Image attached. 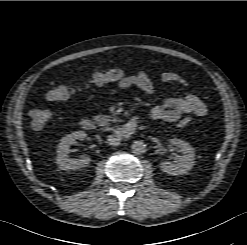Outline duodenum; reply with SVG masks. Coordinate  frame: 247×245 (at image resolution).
<instances>
[{"label": "duodenum", "instance_id": "1", "mask_svg": "<svg viewBox=\"0 0 247 245\" xmlns=\"http://www.w3.org/2000/svg\"><path fill=\"white\" fill-rule=\"evenodd\" d=\"M139 122V118L134 117L120 128L115 131V135L121 139L129 138L134 133L136 126ZM81 127L84 130L91 131L95 128V122L90 118H84L81 120Z\"/></svg>", "mask_w": 247, "mask_h": 245}]
</instances>
